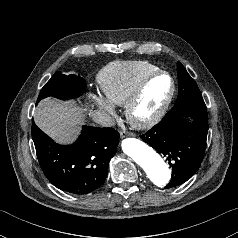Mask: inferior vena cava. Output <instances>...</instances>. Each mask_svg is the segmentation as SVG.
<instances>
[{"instance_id": "1", "label": "inferior vena cava", "mask_w": 238, "mask_h": 238, "mask_svg": "<svg viewBox=\"0 0 238 238\" xmlns=\"http://www.w3.org/2000/svg\"><path fill=\"white\" fill-rule=\"evenodd\" d=\"M92 118L95 122L103 127H111L115 125L114 119L109 114L104 112H95L92 114Z\"/></svg>"}]
</instances>
